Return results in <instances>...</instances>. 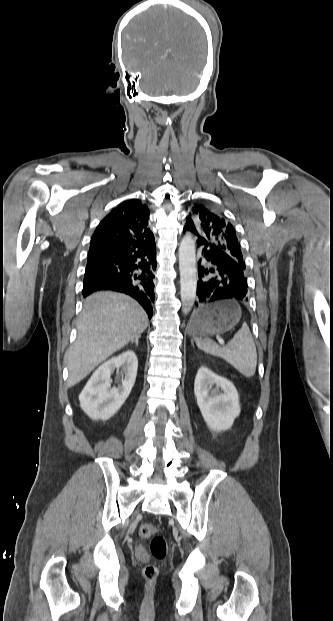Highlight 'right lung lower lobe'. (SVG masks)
Here are the masks:
<instances>
[{"label":"right lung lower lobe","instance_id":"obj_1","mask_svg":"<svg viewBox=\"0 0 333 621\" xmlns=\"http://www.w3.org/2000/svg\"><path fill=\"white\" fill-rule=\"evenodd\" d=\"M156 245L132 252L100 251L88 254L82 294L112 290L135 298L149 319L153 315Z\"/></svg>","mask_w":333,"mask_h":621}]
</instances>
